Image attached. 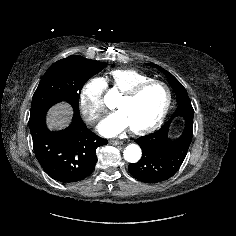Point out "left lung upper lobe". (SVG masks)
Listing matches in <instances>:
<instances>
[{"instance_id": "obj_1", "label": "left lung upper lobe", "mask_w": 236, "mask_h": 236, "mask_svg": "<svg viewBox=\"0 0 236 236\" xmlns=\"http://www.w3.org/2000/svg\"><path fill=\"white\" fill-rule=\"evenodd\" d=\"M151 67H156L158 70L164 72L165 76L167 77L170 85L172 86L176 97H177V105L182 104L184 102H191L189 99V96L187 94L186 89L183 87V85L169 72L161 68L160 66L156 64H147Z\"/></svg>"}]
</instances>
